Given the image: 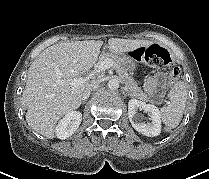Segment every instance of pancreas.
Instances as JSON below:
<instances>
[{
  "instance_id": "1",
  "label": "pancreas",
  "mask_w": 209,
  "mask_h": 179,
  "mask_svg": "<svg viewBox=\"0 0 209 179\" xmlns=\"http://www.w3.org/2000/svg\"><path fill=\"white\" fill-rule=\"evenodd\" d=\"M106 59H110L113 61L114 63V67L117 69L121 79L123 80L126 89L128 91V93L132 96L135 97L137 99H140L142 101H148L149 98L147 96V94H145L142 89L140 87H138L137 82L128 74L124 64H123V58L116 56L114 54H105L104 56H102L99 59L98 64H100L101 62H103ZM104 73L101 72L100 74L102 75Z\"/></svg>"
}]
</instances>
